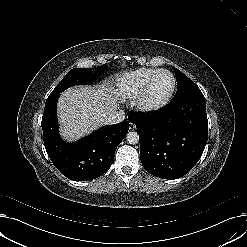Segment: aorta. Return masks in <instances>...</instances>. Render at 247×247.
<instances>
[{
	"label": "aorta",
	"mask_w": 247,
	"mask_h": 247,
	"mask_svg": "<svg viewBox=\"0 0 247 247\" xmlns=\"http://www.w3.org/2000/svg\"><path fill=\"white\" fill-rule=\"evenodd\" d=\"M126 140L129 144L135 145L139 142V135L135 131L128 132Z\"/></svg>",
	"instance_id": "aorta-1"
}]
</instances>
